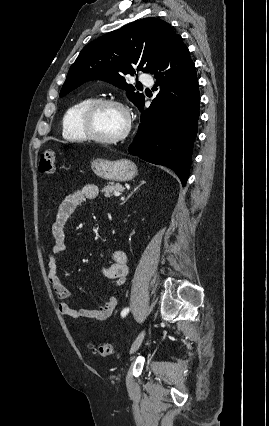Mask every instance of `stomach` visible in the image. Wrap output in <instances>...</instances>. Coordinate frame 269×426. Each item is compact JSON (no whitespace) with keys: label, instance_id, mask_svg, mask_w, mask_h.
<instances>
[{"label":"stomach","instance_id":"0dacf381","mask_svg":"<svg viewBox=\"0 0 269 426\" xmlns=\"http://www.w3.org/2000/svg\"><path fill=\"white\" fill-rule=\"evenodd\" d=\"M91 169L98 177L109 181H129L137 174L136 165L128 159L110 161L97 158L91 162Z\"/></svg>","mask_w":269,"mask_h":426}]
</instances>
